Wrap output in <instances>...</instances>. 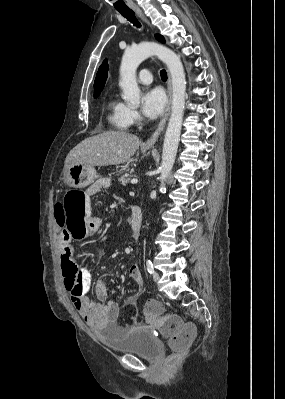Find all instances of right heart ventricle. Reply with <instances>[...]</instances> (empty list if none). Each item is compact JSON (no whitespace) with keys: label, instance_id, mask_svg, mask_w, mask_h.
Returning <instances> with one entry per match:
<instances>
[{"label":"right heart ventricle","instance_id":"1","mask_svg":"<svg viewBox=\"0 0 285 399\" xmlns=\"http://www.w3.org/2000/svg\"><path fill=\"white\" fill-rule=\"evenodd\" d=\"M108 121L116 129L124 131L130 125L128 122L129 107L115 97L107 103Z\"/></svg>","mask_w":285,"mask_h":399}]
</instances>
